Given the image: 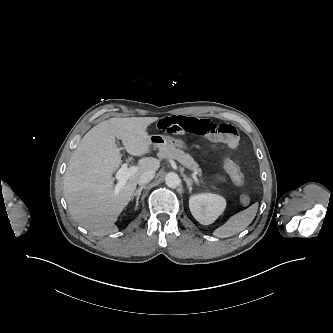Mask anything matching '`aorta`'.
Listing matches in <instances>:
<instances>
[{
    "instance_id": "aorta-1",
    "label": "aorta",
    "mask_w": 333,
    "mask_h": 333,
    "mask_svg": "<svg viewBox=\"0 0 333 333\" xmlns=\"http://www.w3.org/2000/svg\"><path fill=\"white\" fill-rule=\"evenodd\" d=\"M180 178L176 173H168L165 178V183L170 188H176L180 185Z\"/></svg>"
}]
</instances>
